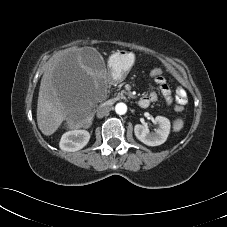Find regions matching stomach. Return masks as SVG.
<instances>
[{
  "label": "stomach",
  "instance_id": "obj_1",
  "mask_svg": "<svg viewBox=\"0 0 227 227\" xmlns=\"http://www.w3.org/2000/svg\"><path fill=\"white\" fill-rule=\"evenodd\" d=\"M134 54L121 50L113 53L109 58L108 65L110 72L115 76L114 81H122L134 63Z\"/></svg>",
  "mask_w": 227,
  "mask_h": 227
}]
</instances>
